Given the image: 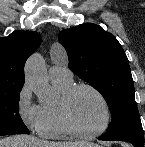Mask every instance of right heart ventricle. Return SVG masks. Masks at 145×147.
Instances as JSON below:
<instances>
[{"label":"right heart ventricle","mask_w":145,"mask_h":147,"mask_svg":"<svg viewBox=\"0 0 145 147\" xmlns=\"http://www.w3.org/2000/svg\"><path fill=\"white\" fill-rule=\"evenodd\" d=\"M51 80L59 96L58 99L53 103L40 105L42 125L39 133L46 138L62 139L68 137L72 133L68 130L62 120L59 109V102L62 96L74 85V83L73 79Z\"/></svg>","instance_id":"obj_1"}]
</instances>
